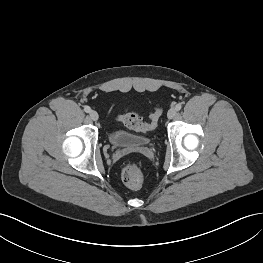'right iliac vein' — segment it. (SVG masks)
Instances as JSON below:
<instances>
[{
  "label": "right iliac vein",
  "instance_id": "right-iliac-vein-1",
  "mask_svg": "<svg viewBox=\"0 0 263 263\" xmlns=\"http://www.w3.org/2000/svg\"><path fill=\"white\" fill-rule=\"evenodd\" d=\"M89 116L93 121H97L99 119L98 113L94 110L90 111Z\"/></svg>",
  "mask_w": 263,
  "mask_h": 263
}]
</instances>
